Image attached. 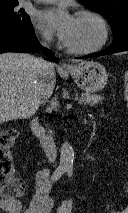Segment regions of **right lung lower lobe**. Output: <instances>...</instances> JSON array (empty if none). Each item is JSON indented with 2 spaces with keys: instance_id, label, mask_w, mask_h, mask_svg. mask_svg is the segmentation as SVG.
Wrapping results in <instances>:
<instances>
[{
  "instance_id": "right-lung-lower-lobe-1",
  "label": "right lung lower lobe",
  "mask_w": 128,
  "mask_h": 213,
  "mask_svg": "<svg viewBox=\"0 0 128 213\" xmlns=\"http://www.w3.org/2000/svg\"><path fill=\"white\" fill-rule=\"evenodd\" d=\"M39 46L32 26L26 29L0 30V53H30L38 50ZM45 55L51 60L55 59L50 50H46Z\"/></svg>"
}]
</instances>
